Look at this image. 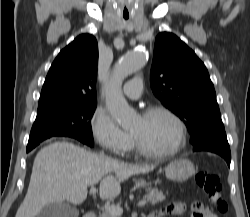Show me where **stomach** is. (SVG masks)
<instances>
[{
  "label": "stomach",
  "instance_id": "obj_1",
  "mask_svg": "<svg viewBox=\"0 0 250 217\" xmlns=\"http://www.w3.org/2000/svg\"><path fill=\"white\" fill-rule=\"evenodd\" d=\"M195 173L193 163L187 159H179L171 162L165 168V175L169 180L183 182Z\"/></svg>",
  "mask_w": 250,
  "mask_h": 217
}]
</instances>
